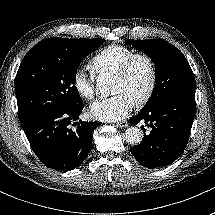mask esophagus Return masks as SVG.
I'll list each match as a JSON object with an SVG mask.
<instances>
[{"label": "esophagus", "mask_w": 215, "mask_h": 215, "mask_svg": "<svg viewBox=\"0 0 215 215\" xmlns=\"http://www.w3.org/2000/svg\"><path fill=\"white\" fill-rule=\"evenodd\" d=\"M117 127H127L128 123L127 121H122L116 124Z\"/></svg>", "instance_id": "1"}]
</instances>
